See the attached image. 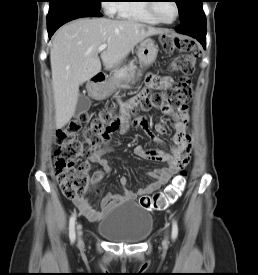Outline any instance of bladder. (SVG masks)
<instances>
[{
  "label": "bladder",
  "mask_w": 258,
  "mask_h": 275,
  "mask_svg": "<svg viewBox=\"0 0 258 275\" xmlns=\"http://www.w3.org/2000/svg\"><path fill=\"white\" fill-rule=\"evenodd\" d=\"M153 228L152 215L134 203H125L106 213L97 232L112 242L139 243Z\"/></svg>",
  "instance_id": "obj_1"
}]
</instances>
